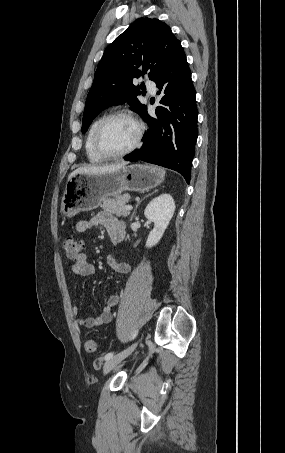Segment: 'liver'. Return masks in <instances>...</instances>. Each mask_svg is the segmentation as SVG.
Segmentation results:
<instances>
[{
    "label": "liver",
    "instance_id": "1",
    "mask_svg": "<svg viewBox=\"0 0 285 453\" xmlns=\"http://www.w3.org/2000/svg\"><path fill=\"white\" fill-rule=\"evenodd\" d=\"M127 165V162H121L118 164H111L107 166H84V167H79L76 170H74L70 175L69 178H72L73 176L77 174H101L105 172H111L117 169H120L124 166Z\"/></svg>",
    "mask_w": 285,
    "mask_h": 453
}]
</instances>
